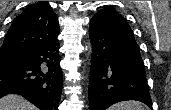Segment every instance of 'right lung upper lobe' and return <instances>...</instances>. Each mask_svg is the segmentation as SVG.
I'll return each mask as SVG.
<instances>
[{
	"label": "right lung upper lobe",
	"mask_w": 171,
	"mask_h": 110,
	"mask_svg": "<svg viewBox=\"0 0 171 110\" xmlns=\"http://www.w3.org/2000/svg\"><path fill=\"white\" fill-rule=\"evenodd\" d=\"M59 23L47 2L28 6L9 28L0 55L27 53L58 36Z\"/></svg>",
	"instance_id": "right-lung-upper-lobe-1"
}]
</instances>
